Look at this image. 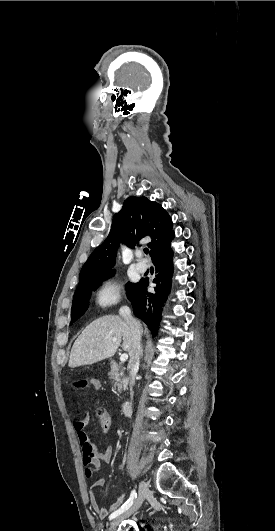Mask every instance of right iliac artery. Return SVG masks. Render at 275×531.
<instances>
[{
  "mask_svg": "<svg viewBox=\"0 0 275 531\" xmlns=\"http://www.w3.org/2000/svg\"><path fill=\"white\" fill-rule=\"evenodd\" d=\"M136 497H137V493H136L135 490H133L131 492V495H130L129 499L121 506V508H119L118 510L113 512L109 516V519L112 520V519L116 518L117 516H119L120 514H122L123 512H125L127 509H129L131 507V505L133 504L134 500L136 499Z\"/></svg>",
  "mask_w": 275,
  "mask_h": 531,
  "instance_id": "right-iliac-artery-1",
  "label": "right iliac artery"
}]
</instances>
